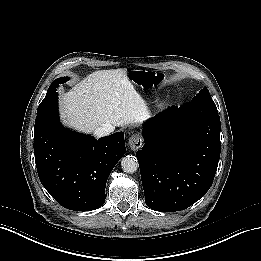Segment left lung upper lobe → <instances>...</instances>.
I'll use <instances>...</instances> for the list:
<instances>
[{
    "instance_id": "obj_1",
    "label": "left lung upper lobe",
    "mask_w": 261,
    "mask_h": 261,
    "mask_svg": "<svg viewBox=\"0 0 261 261\" xmlns=\"http://www.w3.org/2000/svg\"><path fill=\"white\" fill-rule=\"evenodd\" d=\"M192 102L205 104L208 106L216 107L215 103L213 102L209 91L207 88H203L192 100Z\"/></svg>"
}]
</instances>
